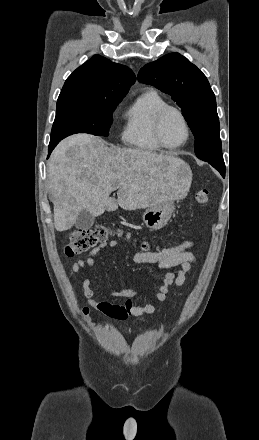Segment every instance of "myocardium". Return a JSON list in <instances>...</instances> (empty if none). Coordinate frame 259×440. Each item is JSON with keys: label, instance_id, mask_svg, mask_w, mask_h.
<instances>
[{"label": "myocardium", "instance_id": "myocardium-1", "mask_svg": "<svg viewBox=\"0 0 259 440\" xmlns=\"http://www.w3.org/2000/svg\"><path fill=\"white\" fill-rule=\"evenodd\" d=\"M169 112H174L179 116V118L181 119V121L185 127V131H186V136H185L184 141L181 142L180 144L175 145V146L167 145L165 143V141L163 140L162 134H161L163 120ZM153 132H154V137H155L157 143L162 148H164L166 150H177V149L183 147L184 145L187 144V142L189 141L190 136H191V128H190V125H189V122H188L186 116L178 107H175L172 105H166L158 112V114L155 118Z\"/></svg>", "mask_w": 259, "mask_h": 440}]
</instances>
